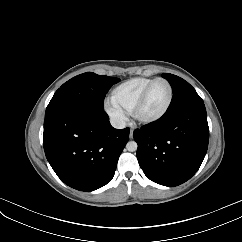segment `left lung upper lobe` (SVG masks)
<instances>
[{"mask_svg":"<svg viewBox=\"0 0 242 242\" xmlns=\"http://www.w3.org/2000/svg\"><path fill=\"white\" fill-rule=\"evenodd\" d=\"M172 86L173 98L166 112L175 110L190 103L203 102L195 89L184 79L169 73L162 74Z\"/></svg>","mask_w":242,"mask_h":242,"instance_id":"obj_1","label":"left lung upper lobe"}]
</instances>
